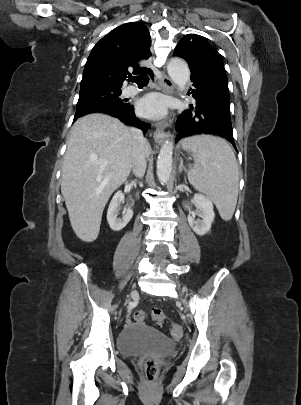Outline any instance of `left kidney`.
Returning a JSON list of instances; mask_svg holds the SVG:
<instances>
[{
    "label": "left kidney",
    "mask_w": 301,
    "mask_h": 405,
    "mask_svg": "<svg viewBox=\"0 0 301 405\" xmlns=\"http://www.w3.org/2000/svg\"><path fill=\"white\" fill-rule=\"evenodd\" d=\"M194 204L202 220L196 221L192 215H188V223L197 235L203 236L211 229L215 218L214 207L211 200L202 194L194 195Z\"/></svg>",
    "instance_id": "5707ae66"
}]
</instances>
